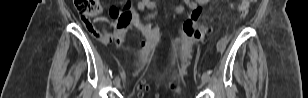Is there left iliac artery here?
Wrapping results in <instances>:
<instances>
[{
  "label": "left iliac artery",
  "mask_w": 308,
  "mask_h": 98,
  "mask_svg": "<svg viewBox=\"0 0 308 98\" xmlns=\"http://www.w3.org/2000/svg\"><path fill=\"white\" fill-rule=\"evenodd\" d=\"M203 76H205L207 78V80L209 81L210 80V76L208 73H204Z\"/></svg>",
  "instance_id": "obj_1"
}]
</instances>
